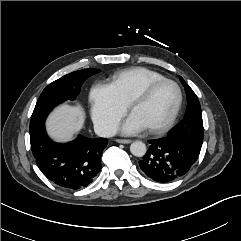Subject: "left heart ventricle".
Returning <instances> with one entry per match:
<instances>
[{"label": "left heart ventricle", "instance_id": "obj_1", "mask_svg": "<svg viewBox=\"0 0 241 241\" xmlns=\"http://www.w3.org/2000/svg\"><path fill=\"white\" fill-rule=\"evenodd\" d=\"M178 93L172 84L157 87L150 97L138 104L132 111L146 126L156 127L165 124L174 112Z\"/></svg>", "mask_w": 241, "mask_h": 241}]
</instances>
